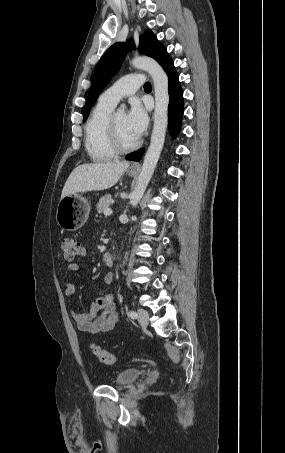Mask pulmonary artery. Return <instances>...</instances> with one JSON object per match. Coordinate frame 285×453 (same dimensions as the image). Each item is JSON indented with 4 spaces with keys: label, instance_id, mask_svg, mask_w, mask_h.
Returning a JSON list of instances; mask_svg holds the SVG:
<instances>
[{
    "label": "pulmonary artery",
    "instance_id": "obj_1",
    "mask_svg": "<svg viewBox=\"0 0 285 453\" xmlns=\"http://www.w3.org/2000/svg\"><path fill=\"white\" fill-rule=\"evenodd\" d=\"M143 83L144 76L142 74L132 73L125 75L106 89L101 95V99L116 105L120 99L135 93Z\"/></svg>",
    "mask_w": 285,
    "mask_h": 453
}]
</instances>
